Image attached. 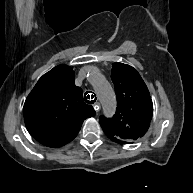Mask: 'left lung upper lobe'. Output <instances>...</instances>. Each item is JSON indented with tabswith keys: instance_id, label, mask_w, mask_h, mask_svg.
Listing matches in <instances>:
<instances>
[{
	"instance_id": "left-lung-upper-lobe-1",
	"label": "left lung upper lobe",
	"mask_w": 193,
	"mask_h": 193,
	"mask_svg": "<svg viewBox=\"0 0 193 193\" xmlns=\"http://www.w3.org/2000/svg\"><path fill=\"white\" fill-rule=\"evenodd\" d=\"M111 78L118 99L116 113L111 119L101 116L99 122L111 140L128 144L147 132L153 113L152 100L143 79L133 67L114 63Z\"/></svg>"
}]
</instances>
